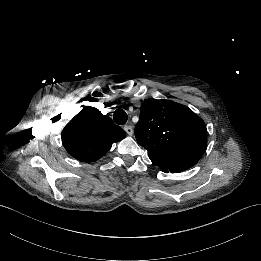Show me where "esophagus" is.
Masks as SVG:
<instances>
[{"label":"esophagus","mask_w":261,"mask_h":261,"mask_svg":"<svg viewBox=\"0 0 261 261\" xmlns=\"http://www.w3.org/2000/svg\"><path fill=\"white\" fill-rule=\"evenodd\" d=\"M124 130H125L126 133H127L128 135H130V136L133 134V127L130 126V125L124 126Z\"/></svg>","instance_id":"34e87169"}]
</instances>
